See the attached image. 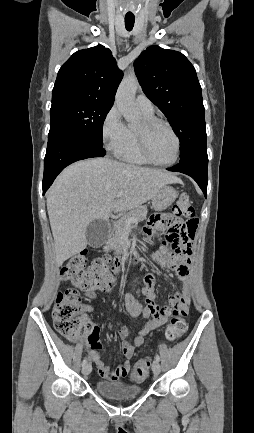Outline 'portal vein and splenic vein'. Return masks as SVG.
Listing matches in <instances>:
<instances>
[{
	"mask_svg": "<svg viewBox=\"0 0 254 433\" xmlns=\"http://www.w3.org/2000/svg\"><path fill=\"white\" fill-rule=\"evenodd\" d=\"M122 195H123V192H119V193L116 195V198H119V197H121ZM136 221H137V219H136L135 217H132V218H129V219L126 220V222H127L128 225L131 224V223H133V222H136Z\"/></svg>",
	"mask_w": 254,
	"mask_h": 433,
	"instance_id": "portal-vein-and-splenic-vein-1",
	"label": "portal vein and splenic vein"
}]
</instances>
